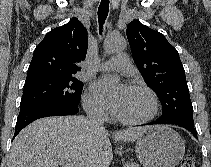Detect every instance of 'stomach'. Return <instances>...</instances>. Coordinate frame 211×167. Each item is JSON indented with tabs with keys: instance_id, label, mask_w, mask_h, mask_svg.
Returning a JSON list of instances; mask_svg holds the SVG:
<instances>
[{
	"instance_id": "0dacf381",
	"label": "stomach",
	"mask_w": 211,
	"mask_h": 167,
	"mask_svg": "<svg viewBox=\"0 0 211 167\" xmlns=\"http://www.w3.org/2000/svg\"><path fill=\"white\" fill-rule=\"evenodd\" d=\"M135 153L143 167H175L185 153L184 140L167 126H152L136 141Z\"/></svg>"
}]
</instances>
